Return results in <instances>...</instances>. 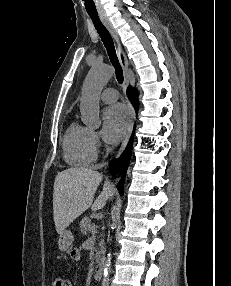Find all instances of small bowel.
<instances>
[{"mask_svg": "<svg viewBox=\"0 0 231 286\" xmlns=\"http://www.w3.org/2000/svg\"><path fill=\"white\" fill-rule=\"evenodd\" d=\"M70 257L72 260L74 261H78L81 257V253L78 249H73L71 252H70Z\"/></svg>", "mask_w": 231, "mask_h": 286, "instance_id": "obj_1", "label": "small bowel"}]
</instances>
